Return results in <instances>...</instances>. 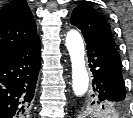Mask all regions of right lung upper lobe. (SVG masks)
Masks as SVG:
<instances>
[{"label":"right lung upper lobe","mask_w":133,"mask_h":118,"mask_svg":"<svg viewBox=\"0 0 133 118\" xmlns=\"http://www.w3.org/2000/svg\"><path fill=\"white\" fill-rule=\"evenodd\" d=\"M38 40L26 0H13L0 10V60Z\"/></svg>","instance_id":"1"}]
</instances>
